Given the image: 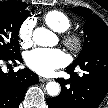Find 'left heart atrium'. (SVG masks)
I'll list each match as a JSON object with an SVG mask.
<instances>
[{
    "label": "left heart atrium",
    "mask_w": 108,
    "mask_h": 108,
    "mask_svg": "<svg viewBox=\"0 0 108 108\" xmlns=\"http://www.w3.org/2000/svg\"><path fill=\"white\" fill-rule=\"evenodd\" d=\"M25 62L32 71L47 76L63 67L67 59L59 49L36 48L26 54Z\"/></svg>",
    "instance_id": "obj_1"
}]
</instances>
